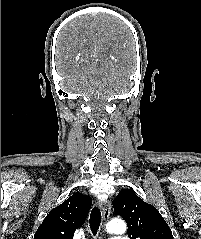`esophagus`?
Instances as JSON below:
<instances>
[{
    "label": "esophagus",
    "mask_w": 201,
    "mask_h": 239,
    "mask_svg": "<svg viewBox=\"0 0 201 239\" xmlns=\"http://www.w3.org/2000/svg\"><path fill=\"white\" fill-rule=\"evenodd\" d=\"M99 206L102 209L104 221H107L109 219L110 212H111V202L109 200H106L104 202H100Z\"/></svg>",
    "instance_id": "34e87169"
}]
</instances>
